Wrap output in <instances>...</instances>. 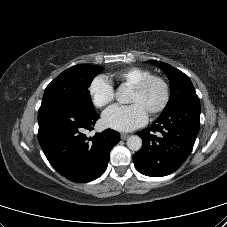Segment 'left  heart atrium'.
Here are the masks:
<instances>
[{
  "label": "left heart atrium",
  "instance_id": "left-heart-atrium-1",
  "mask_svg": "<svg viewBox=\"0 0 227 227\" xmlns=\"http://www.w3.org/2000/svg\"><path fill=\"white\" fill-rule=\"evenodd\" d=\"M147 111L139 103L128 106L114 105L103 113L106 126L123 132H129L147 122Z\"/></svg>",
  "mask_w": 227,
  "mask_h": 227
}]
</instances>
